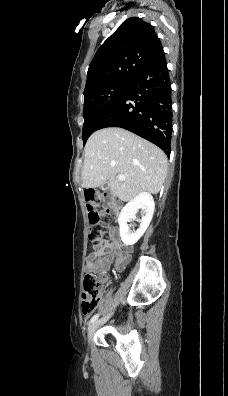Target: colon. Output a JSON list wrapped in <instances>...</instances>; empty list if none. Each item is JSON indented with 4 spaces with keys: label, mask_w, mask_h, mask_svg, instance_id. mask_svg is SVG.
<instances>
[{
    "label": "colon",
    "mask_w": 228,
    "mask_h": 396,
    "mask_svg": "<svg viewBox=\"0 0 228 396\" xmlns=\"http://www.w3.org/2000/svg\"><path fill=\"white\" fill-rule=\"evenodd\" d=\"M87 210L90 222L89 240L94 246L104 243L108 237L107 216L111 211V203L104 194L88 191L86 193ZM101 207L102 210L98 208ZM102 293L101 279L92 273L86 274L83 280L82 312L93 313L100 301Z\"/></svg>",
    "instance_id": "1"
}]
</instances>
